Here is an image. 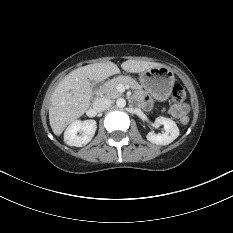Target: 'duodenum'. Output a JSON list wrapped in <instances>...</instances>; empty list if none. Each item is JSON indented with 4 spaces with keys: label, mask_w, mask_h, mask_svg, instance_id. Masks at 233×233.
Wrapping results in <instances>:
<instances>
[{
    "label": "duodenum",
    "mask_w": 233,
    "mask_h": 233,
    "mask_svg": "<svg viewBox=\"0 0 233 233\" xmlns=\"http://www.w3.org/2000/svg\"><path fill=\"white\" fill-rule=\"evenodd\" d=\"M107 81V79H104V80H102L101 82H100V84H102V83H104V82H106Z\"/></svg>",
    "instance_id": "obj_1"
}]
</instances>
